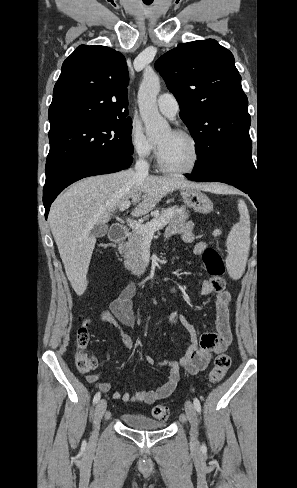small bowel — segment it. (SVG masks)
I'll return each mask as SVG.
<instances>
[{"label":"small bowel","instance_id":"1","mask_svg":"<svg viewBox=\"0 0 297 488\" xmlns=\"http://www.w3.org/2000/svg\"><path fill=\"white\" fill-rule=\"evenodd\" d=\"M174 235H179L184 243H194L193 251L197 255L203 254L207 245L205 242L197 241V235L194 231V226L191 222L181 225L169 226L165 232L166 238ZM200 291L204 295L215 293L213 307L215 311V325L212 332L205 333L201 336L199 344L195 341L189 346L179 360L166 359L157 360L149 355H145V361L154 367H163L167 370V377L164 383L154 389L139 390L134 396L129 392L116 391L112 395V399L123 402H143L151 404L155 401L168 397L176 388L180 373L182 370L189 374H196L204 370L212 355L223 350L231 341V333L229 328L230 319V295L228 292H217L214 290L211 280L203 279L200 284ZM136 293V286L134 283H128L118 294V296L109 304V310L100 313V319L104 322L113 324L120 329L121 339L124 346L131 350L133 343L129 334L124 328H132L135 324V314L132 305V299ZM169 322L172 325L182 324L194 338L195 333L193 327L188 323L185 316L173 311L169 315ZM101 378V373H93L87 376V381L94 384L95 387L106 393L111 389L112 383L110 381L98 382Z\"/></svg>","mask_w":297,"mask_h":488}]
</instances>
